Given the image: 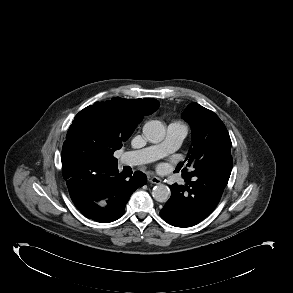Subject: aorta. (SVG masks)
Instances as JSON below:
<instances>
[{"instance_id": "obj_1", "label": "aorta", "mask_w": 293, "mask_h": 293, "mask_svg": "<svg viewBox=\"0 0 293 293\" xmlns=\"http://www.w3.org/2000/svg\"><path fill=\"white\" fill-rule=\"evenodd\" d=\"M143 134L149 141L159 143L165 138V126L158 120L148 121L143 126ZM152 196L158 202H166L170 197V189L164 184L156 185L152 190Z\"/></svg>"}]
</instances>
